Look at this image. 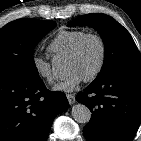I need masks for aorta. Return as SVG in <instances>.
<instances>
[{
  "label": "aorta",
  "mask_w": 141,
  "mask_h": 141,
  "mask_svg": "<svg viewBox=\"0 0 141 141\" xmlns=\"http://www.w3.org/2000/svg\"><path fill=\"white\" fill-rule=\"evenodd\" d=\"M53 69L56 70V64H53ZM71 114L73 119L78 123H88L91 119L90 109L83 104H76L72 107Z\"/></svg>",
  "instance_id": "1"
}]
</instances>
